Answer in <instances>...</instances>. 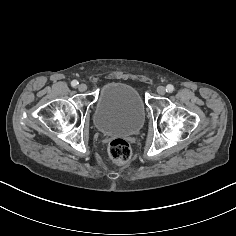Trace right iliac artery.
Masks as SVG:
<instances>
[{
    "instance_id": "right-iliac-artery-1",
    "label": "right iliac artery",
    "mask_w": 236,
    "mask_h": 236,
    "mask_svg": "<svg viewBox=\"0 0 236 236\" xmlns=\"http://www.w3.org/2000/svg\"><path fill=\"white\" fill-rule=\"evenodd\" d=\"M78 84H79V83H78L77 80H73V81L71 82V85H72L73 87H76Z\"/></svg>"
}]
</instances>
